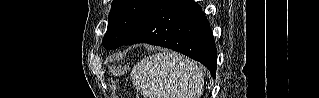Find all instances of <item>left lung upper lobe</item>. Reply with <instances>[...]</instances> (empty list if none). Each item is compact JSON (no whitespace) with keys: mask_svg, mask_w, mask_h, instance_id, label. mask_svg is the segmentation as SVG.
<instances>
[{"mask_svg":"<svg viewBox=\"0 0 319 98\" xmlns=\"http://www.w3.org/2000/svg\"><path fill=\"white\" fill-rule=\"evenodd\" d=\"M156 1L113 0L103 46L114 49L125 44L141 26Z\"/></svg>","mask_w":319,"mask_h":98,"instance_id":"1","label":"left lung upper lobe"}]
</instances>
